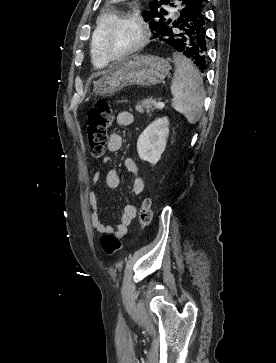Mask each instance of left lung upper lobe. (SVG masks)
Wrapping results in <instances>:
<instances>
[{
  "label": "left lung upper lobe",
  "mask_w": 276,
  "mask_h": 363,
  "mask_svg": "<svg viewBox=\"0 0 276 363\" xmlns=\"http://www.w3.org/2000/svg\"><path fill=\"white\" fill-rule=\"evenodd\" d=\"M175 1H180L181 6H184L188 0H161L160 3L174 6ZM160 3L158 1H152L149 5V13L146 11L143 12V16L147 21H149L153 37L160 29H163L164 27L167 29L174 20V18H170L169 12L164 10Z\"/></svg>",
  "instance_id": "1"
}]
</instances>
